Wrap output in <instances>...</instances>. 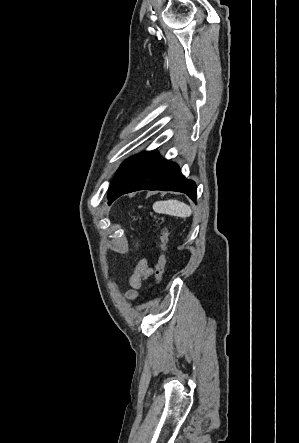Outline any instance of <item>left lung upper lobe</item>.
<instances>
[{"label":"left lung upper lobe","instance_id":"obj_1","mask_svg":"<svg viewBox=\"0 0 299 443\" xmlns=\"http://www.w3.org/2000/svg\"><path fill=\"white\" fill-rule=\"evenodd\" d=\"M150 152H142L138 155L132 156L130 158H128L127 160H125L119 170L116 173V176L114 177L111 186L109 189L113 188L114 186H116L118 184V182L124 177V175L135 165L137 164L140 160H142L145 156H147Z\"/></svg>","mask_w":299,"mask_h":443}]
</instances>
